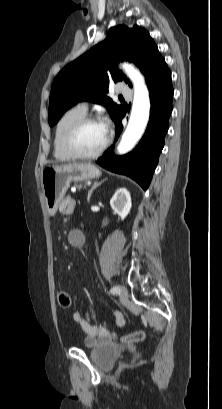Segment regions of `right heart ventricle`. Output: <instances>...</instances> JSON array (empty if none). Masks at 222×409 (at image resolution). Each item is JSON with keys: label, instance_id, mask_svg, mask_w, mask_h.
<instances>
[{"label": "right heart ventricle", "instance_id": "e07e8e85", "mask_svg": "<svg viewBox=\"0 0 222 409\" xmlns=\"http://www.w3.org/2000/svg\"><path fill=\"white\" fill-rule=\"evenodd\" d=\"M86 116L78 106L67 110L58 120L53 141V155L58 161H70L74 159L65 149L64 139L69 128L79 119Z\"/></svg>", "mask_w": 222, "mask_h": 409}]
</instances>
